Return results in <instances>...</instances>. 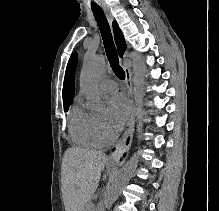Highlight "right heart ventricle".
I'll list each match as a JSON object with an SVG mask.
<instances>
[{
  "label": "right heart ventricle",
  "mask_w": 219,
  "mask_h": 211,
  "mask_svg": "<svg viewBox=\"0 0 219 211\" xmlns=\"http://www.w3.org/2000/svg\"><path fill=\"white\" fill-rule=\"evenodd\" d=\"M99 121L81 106L72 108L69 131L75 142L85 147H100L103 142L99 134Z\"/></svg>",
  "instance_id": "1"
}]
</instances>
